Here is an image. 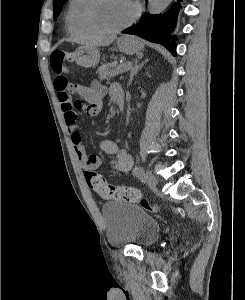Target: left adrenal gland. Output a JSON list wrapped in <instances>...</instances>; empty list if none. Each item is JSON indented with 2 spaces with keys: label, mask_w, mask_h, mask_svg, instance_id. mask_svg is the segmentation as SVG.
Wrapping results in <instances>:
<instances>
[{
  "label": "left adrenal gland",
  "mask_w": 245,
  "mask_h": 300,
  "mask_svg": "<svg viewBox=\"0 0 245 300\" xmlns=\"http://www.w3.org/2000/svg\"><path fill=\"white\" fill-rule=\"evenodd\" d=\"M148 62V59H146L144 62H142L141 64H139L138 60L134 61V65L130 70V78H129V82H128V86L131 85L134 76L138 74V72L142 69V67L144 66V64Z\"/></svg>",
  "instance_id": "a2214340"
}]
</instances>
